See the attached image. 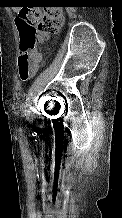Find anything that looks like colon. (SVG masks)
<instances>
[{"label": "colon", "instance_id": "5ec220e1", "mask_svg": "<svg viewBox=\"0 0 122 218\" xmlns=\"http://www.w3.org/2000/svg\"><path fill=\"white\" fill-rule=\"evenodd\" d=\"M16 23L20 34L18 70L22 81L35 73L40 57L36 51L39 43L57 33L63 23L61 8L29 7L19 10Z\"/></svg>", "mask_w": 122, "mask_h": 218}]
</instances>
